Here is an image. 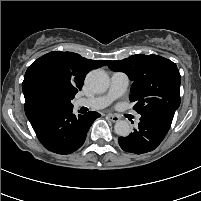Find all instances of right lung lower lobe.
Here are the masks:
<instances>
[{"mask_svg": "<svg viewBox=\"0 0 201 201\" xmlns=\"http://www.w3.org/2000/svg\"><path fill=\"white\" fill-rule=\"evenodd\" d=\"M29 119L42 145L58 154H69L79 149L93 121L100 117L97 112L75 115L73 105L50 101H37L25 106Z\"/></svg>", "mask_w": 201, "mask_h": 201, "instance_id": "right-lung-lower-lobe-1", "label": "right lung lower lobe"}]
</instances>
